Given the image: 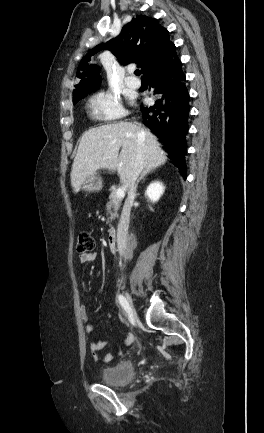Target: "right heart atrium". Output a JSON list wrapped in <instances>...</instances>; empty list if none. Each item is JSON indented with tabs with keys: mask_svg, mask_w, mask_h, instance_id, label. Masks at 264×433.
Wrapping results in <instances>:
<instances>
[{
	"mask_svg": "<svg viewBox=\"0 0 264 433\" xmlns=\"http://www.w3.org/2000/svg\"><path fill=\"white\" fill-rule=\"evenodd\" d=\"M92 117L100 121H114L125 115L119 97L112 92L99 91L89 100Z\"/></svg>",
	"mask_w": 264,
	"mask_h": 433,
	"instance_id": "1",
	"label": "right heart atrium"
}]
</instances>
